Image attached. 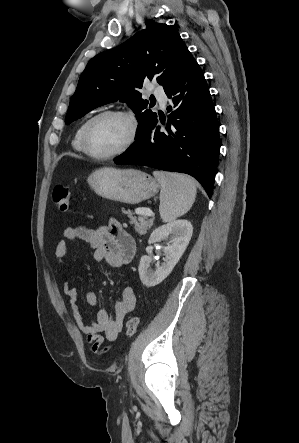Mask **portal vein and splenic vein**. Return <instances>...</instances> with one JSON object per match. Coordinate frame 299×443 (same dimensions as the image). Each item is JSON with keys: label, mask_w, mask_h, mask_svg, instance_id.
Segmentation results:
<instances>
[{"label": "portal vein and splenic vein", "mask_w": 299, "mask_h": 443, "mask_svg": "<svg viewBox=\"0 0 299 443\" xmlns=\"http://www.w3.org/2000/svg\"><path fill=\"white\" fill-rule=\"evenodd\" d=\"M140 214H144L146 216L154 217V213L151 210H149V209L148 210L143 209V211L140 212Z\"/></svg>", "instance_id": "18ae733b"}]
</instances>
